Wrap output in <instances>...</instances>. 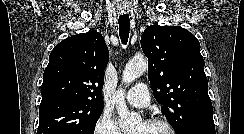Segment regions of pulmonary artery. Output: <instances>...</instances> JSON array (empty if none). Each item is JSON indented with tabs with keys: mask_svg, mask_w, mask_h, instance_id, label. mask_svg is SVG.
Instances as JSON below:
<instances>
[{
	"mask_svg": "<svg viewBox=\"0 0 244 134\" xmlns=\"http://www.w3.org/2000/svg\"><path fill=\"white\" fill-rule=\"evenodd\" d=\"M125 98L129 104L136 107H145L150 103L149 91L144 83H138L128 90Z\"/></svg>",
	"mask_w": 244,
	"mask_h": 134,
	"instance_id": "1",
	"label": "pulmonary artery"
}]
</instances>
